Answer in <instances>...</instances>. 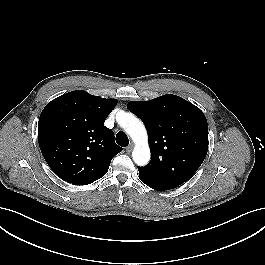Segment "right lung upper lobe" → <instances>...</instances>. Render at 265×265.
Instances as JSON below:
<instances>
[{"label": "right lung upper lobe", "mask_w": 265, "mask_h": 265, "mask_svg": "<svg viewBox=\"0 0 265 265\" xmlns=\"http://www.w3.org/2000/svg\"><path fill=\"white\" fill-rule=\"evenodd\" d=\"M116 99L76 90L48 103L38 123V142L47 164L61 179L87 185L103 177L122 148L104 126Z\"/></svg>", "instance_id": "cb5924a9"}]
</instances>
